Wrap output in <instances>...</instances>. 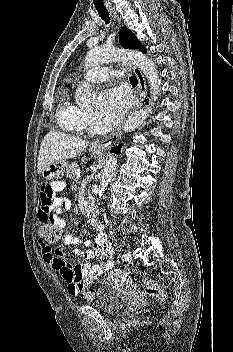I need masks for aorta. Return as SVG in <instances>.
<instances>
[{
  "mask_svg": "<svg viewBox=\"0 0 233 352\" xmlns=\"http://www.w3.org/2000/svg\"><path fill=\"white\" fill-rule=\"evenodd\" d=\"M118 60L135 64L147 77L151 89L152 101H150L149 105L144 109L136 111L126 119L123 125V130L125 132H129L140 126L147 119L149 113H151L152 106L154 105L157 95L160 92L161 80L158 76L154 63L144 54L137 51H125L109 47H95L86 54L84 65L86 68H89L107 61ZM75 98L79 104L88 105L94 101L95 95L90 85L83 82L77 87ZM116 163L117 159L115 155H109L99 177L98 196L100 198L103 196V193L105 192V189L113 175Z\"/></svg>",
  "mask_w": 233,
  "mask_h": 352,
  "instance_id": "762f6f07",
  "label": "aorta"
}]
</instances>
